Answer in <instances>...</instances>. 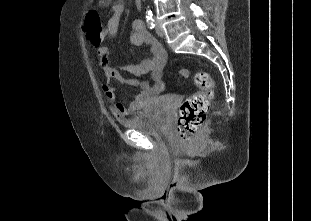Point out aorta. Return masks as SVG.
<instances>
[{
    "label": "aorta",
    "mask_w": 311,
    "mask_h": 221,
    "mask_svg": "<svg viewBox=\"0 0 311 221\" xmlns=\"http://www.w3.org/2000/svg\"><path fill=\"white\" fill-rule=\"evenodd\" d=\"M146 16H147V18H151V16H152L151 10H147Z\"/></svg>",
    "instance_id": "1"
}]
</instances>
